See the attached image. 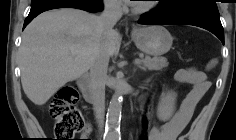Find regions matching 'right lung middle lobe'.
Masks as SVG:
<instances>
[{
	"label": "right lung middle lobe",
	"instance_id": "right-lung-middle-lobe-1",
	"mask_svg": "<svg viewBox=\"0 0 236 140\" xmlns=\"http://www.w3.org/2000/svg\"><path fill=\"white\" fill-rule=\"evenodd\" d=\"M49 1H54V0H32L31 6H35L41 3L49 2ZM84 3H87L92 6H99L101 1L100 0H80Z\"/></svg>",
	"mask_w": 236,
	"mask_h": 140
}]
</instances>
